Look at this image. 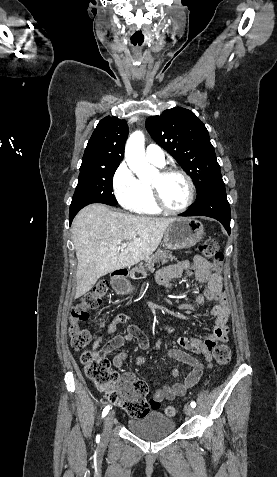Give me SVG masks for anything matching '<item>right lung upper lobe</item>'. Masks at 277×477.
Here are the masks:
<instances>
[{"label": "right lung upper lobe", "mask_w": 277, "mask_h": 477, "mask_svg": "<svg viewBox=\"0 0 277 477\" xmlns=\"http://www.w3.org/2000/svg\"><path fill=\"white\" fill-rule=\"evenodd\" d=\"M128 133L125 120L111 116L103 118L88 141L80 171L119 166Z\"/></svg>", "instance_id": "right-lung-upper-lobe-1"}]
</instances>
